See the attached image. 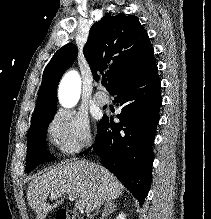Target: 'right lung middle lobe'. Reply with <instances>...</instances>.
I'll return each mask as SVG.
<instances>
[{"label": "right lung middle lobe", "instance_id": "obj_1", "mask_svg": "<svg viewBox=\"0 0 211 219\" xmlns=\"http://www.w3.org/2000/svg\"><path fill=\"white\" fill-rule=\"evenodd\" d=\"M56 111L35 116L31 120V126L27 136L26 172L29 173L37 165L55 159L46 146V132Z\"/></svg>", "mask_w": 211, "mask_h": 219}]
</instances>
